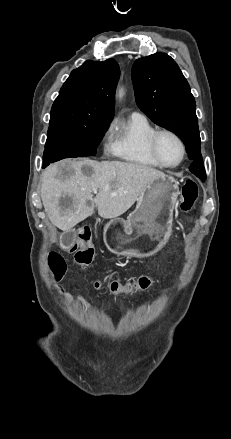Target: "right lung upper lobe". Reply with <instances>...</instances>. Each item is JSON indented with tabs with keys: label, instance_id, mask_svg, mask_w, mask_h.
Returning <instances> with one entry per match:
<instances>
[{
	"label": "right lung upper lobe",
	"instance_id": "right-lung-upper-lobe-1",
	"mask_svg": "<svg viewBox=\"0 0 231 439\" xmlns=\"http://www.w3.org/2000/svg\"><path fill=\"white\" fill-rule=\"evenodd\" d=\"M120 69L117 62L87 61L70 74L54 101L51 117L84 115L113 119L114 94Z\"/></svg>",
	"mask_w": 231,
	"mask_h": 439
}]
</instances>
